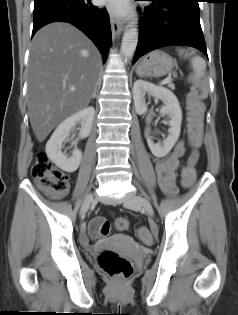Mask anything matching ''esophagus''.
<instances>
[{"label":"esophagus","mask_w":238,"mask_h":315,"mask_svg":"<svg viewBox=\"0 0 238 315\" xmlns=\"http://www.w3.org/2000/svg\"><path fill=\"white\" fill-rule=\"evenodd\" d=\"M110 22H111L112 32L115 36L120 34L125 28L124 20L114 15H111Z\"/></svg>","instance_id":"obj_1"}]
</instances>
